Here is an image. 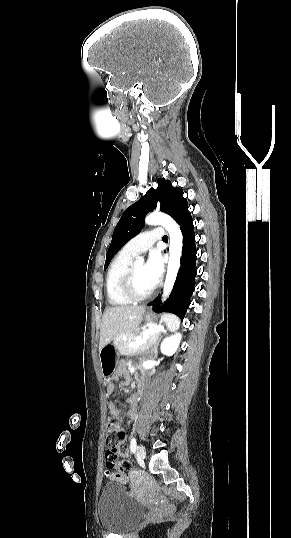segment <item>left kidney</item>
Masks as SVG:
<instances>
[{"instance_id": "left-kidney-1", "label": "left kidney", "mask_w": 291, "mask_h": 538, "mask_svg": "<svg viewBox=\"0 0 291 538\" xmlns=\"http://www.w3.org/2000/svg\"><path fill=\"white\" fill-rule=\"evenodd\" d=\"M181 338L182 336L180 333H175L166 337L161 343V353L167 356L173 355L179 347Z\"/></svg>"}]
</instances>
